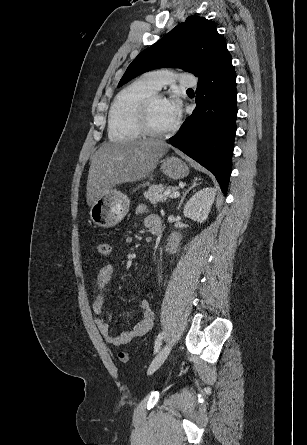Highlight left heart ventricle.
Instances as JSON below:
<instances>
[{
	"label": "left heart ventricle",
	"instance_id": "left-heart-ventricle-1",
	"mask_svg": "<svg viewBox=\"0 0 307 445\" xmlns=\"http://www.w3.org/2000/svg\"><path fill=\"white\" fill-rule=\"evenodd\" d=\"M150 119L152 125L161 131L171 128L175 121L171 120L167 115L164 99L155 100L151 106Z\"/></svg>",
	"mask_w": 307,
	"mask_h": 445
}]
</instances>
